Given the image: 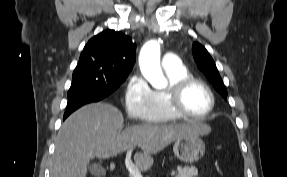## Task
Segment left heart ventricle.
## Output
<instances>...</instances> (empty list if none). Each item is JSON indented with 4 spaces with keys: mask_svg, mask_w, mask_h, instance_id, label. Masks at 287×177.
I'll list each match as a JSON object with an SVG mask.
<instances>
[{
    "mask_svg": "<svg viewBox=\"0 0 287 177\" xmlns=\"http://www.w3.org/2000/svg\"><path fill=\"white\" fill-rule=\"evenodd\" d=\"M183 106L191 114H205L210 107V97L200 85H191L183 96Z\"/></svg>",
    "mask_w": 287,
    "mask_h": 177,
    "instance_id": "1",
    "label": "left heart ventricle"
}]
</instances>
